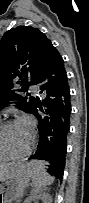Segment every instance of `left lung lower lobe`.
<instances>
[{
	"mask_svg": "<svg viewBox=\"0 0 89 203\" xmlns=\"http://www.w3.org/2000/svg\"><path fill=\"white\" fill-rule=\"evenodd\" d=\"M33 84L44 99L37 97L30 112L38 119V142L27 160L42 164L45 173L62 180L71 103L64 61L52 44L46 49L43 66Z\"/></svg>",
	"mask_w": 89,
	"mask_h": 203,
	"instance_id": "1",
	"label": "left lung lower lobe"
}]
</instances>
